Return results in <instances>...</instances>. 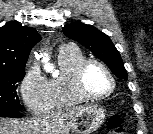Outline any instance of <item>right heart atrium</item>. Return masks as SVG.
Here are the masks:
<instances>
[{
    "label": "right heart atrium",
    "mask_w": 153,
    "mask_h": 134,
    "mask_svg": "<svg viewBox=\"0 0 153 134\" xmlns=\"http://www.w3.org/2000/svg\"><path fill=\"white\" fill-rule=\"evenodd\" d=\"M20 94L26 107L35 115L49 109L48 80L37 65H31L20 84Z\"/></svg>",
    "instance_id": "right-heart-atrium-1"
}]
</instances>
